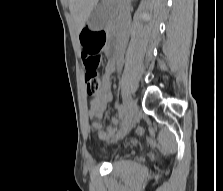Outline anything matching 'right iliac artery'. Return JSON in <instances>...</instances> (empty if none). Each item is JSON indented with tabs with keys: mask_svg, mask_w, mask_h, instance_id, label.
<instances>
[{
	"mask_svg": "<svg viewBox=\"0 0 223 191\" xmlns=\"http://www.w3.org/2000/svg\"><path fill=\"white\" fill-rule=\"evenodd\" d=\"M118 111L121 115H124L125 111H126V108H125V105L124 104H120L118 105Z\"/></svg>",
	"mask_w": 223,
	"mask_h": 191,
	"instance_id": "82829eb1",
	"label": "right iliac artery"
}]
</instances>
